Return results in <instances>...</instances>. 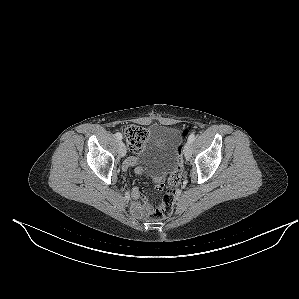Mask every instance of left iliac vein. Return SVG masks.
<instances>
[{
  "label": "left iliac vein",
  "instance_id": "1",
  "mask_svg": "<svg viewBox=\"0 0 299 299\" xmlns=\"http://www.w3.org/2000/svg\"><path fill=\"white\" fill-rule=\"evenodd\" d=\"M184 156L186 159L191 157V143L187 142L184 146Z\"/></svg>",
  "mask_w": 299,
  "mask_h": 299
}]
</instances>
